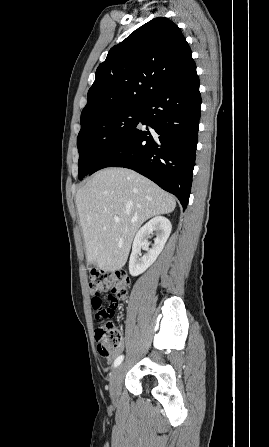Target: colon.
<instances>
[{
  "label": "colon",
  "mask_w": 269,
  "mask_h": 447,
  "mask_svg": "<svg viewBox=\"0 0 269 447\" xmlns=\"http://www.w3.org/2000/svg\"><path fill=\"white\" fill-rule=\"evenodd\" d=\"M87 287L92 295L101 296V299L97 296L92 298L95 310L93 318L98 319L95 339L99 351L106 356L114 352L123 341V333L116 328L113 315L128 299L129 281L121 272L107 274L94 266L87 276Z\"/></svg>",
  "instance_id": "obj_1"
}]
</instances>
